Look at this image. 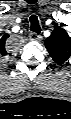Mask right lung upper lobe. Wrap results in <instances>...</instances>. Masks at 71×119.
<instances>
[{
    "label": "right lung upper lobe",
    "instance_id": "cb5924a9",
    "mask_svg": "<svg viewBox=\"0 0 71 119\" xmlns=\"http://www.w3.org/2000/svg\"><path fill=\"white\" fill-rule=\"evenodd\" d=\"M9 37V35H4L2 38H1V41H0V53H1V55L2 56H5V55H7L8 53L6 52V50H5V47H4V45H5V41H6V39ZM10 55V54H9Z\"/></svg>",
    "mask_w": 71,
    "mask_h": 119
}]
</instances>
